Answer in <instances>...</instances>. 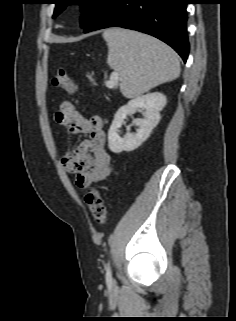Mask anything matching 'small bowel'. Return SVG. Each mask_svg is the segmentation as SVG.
Segmentation results:
<instances>
[{
  "mask_svg": "<svg viewBox=\"0 0 236 321\" xmlns=\"http://www.w3.org/2000/svg\"><path fill=\"white\" fill-rule=\"evenodd\" d=\"M54 120L72 134L89 135L88 139L67 150L62 157L65 168L75 175L77 187L84 189L92 183L108 180L113 168L105 148L103 119L97 115L87 118L74 104L64 101L54 113Z\"/></svg>",
  "mask_w": 236,
  "mask_h": 321,
  "instance_id": "obj_1",
  "label": "small bowel"
}]
</instances>
